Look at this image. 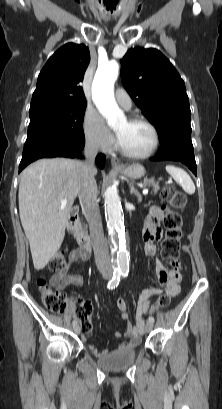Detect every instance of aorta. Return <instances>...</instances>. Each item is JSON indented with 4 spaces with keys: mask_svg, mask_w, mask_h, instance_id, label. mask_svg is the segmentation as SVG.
<instances>
[{
    "mask_svg": "<svg viewBox=\"0 0 222 409\" xmlns=\"http://www.w3.org/2000/svg\"><path fill=\"white\" fill-rule=\"evenodd\" d=\"M118 71L119 66L115 61L99 66L92 83L93 102L110 126L116 125L122 117V112L114 98V83L117 79ZM104 196L106 222L116 265L118 270L126 271L129 268V253L126 248L120 197L113 186L106 189Z\"/></svg>",
    "mask_w": 222,
    "mask_h": 409,
    "instance_id": "1",
    "label": "aorta"
}]
</instances>
